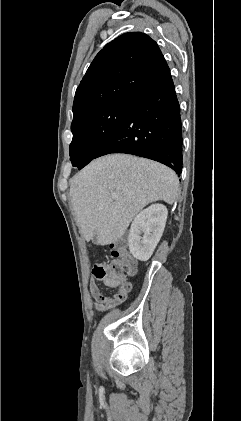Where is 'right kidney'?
<instances>
[{"instance_id": "1", "label": "right kidney", "mask_w": 241, "mask_h": 421, "mask_svg": "<svg viewBox=\"0 0 241 421\" xmlns=\"http://www.w3.org/2000/svg\"><path fill=\"white\" fill-rule=\"evenodd\" d=\"M167 215L164 205L152 204L134 218L128 237L129 250L133 257L141 261L151 257L163 234Z\"/></svg>"}]
</instances>
